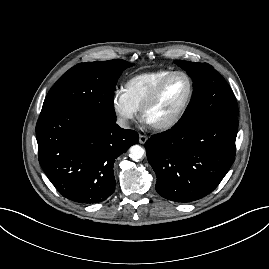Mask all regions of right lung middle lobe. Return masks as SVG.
<instances>
[{
  "label": "right lung middle lobe",
  "mask_w": 269,
  "mask_h": 269,
  "mask_svg": "<svg viewBox=\"0 0 269 269\" xmlns=\"http://www.w3.org/2000/svg\"><path fill=\"white\" fill-rule=\"evenodd\" d=\"M133 65L124 60L77 64L53 85L41 113L68 109L105 121H116L113 104L115 85L121 73Z\"/></svg>",
  "instance_id": "right-lung-middle-lobe-1"
}]
</instances>
